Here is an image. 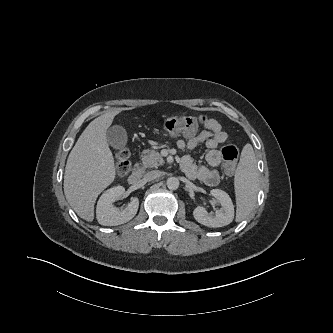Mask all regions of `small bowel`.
<instances>
[{"label":"small bowel","mask_w":333,"mask_h":333,"mask_svg":"<svg viewBox=\"0 0 333 333\" xmlns=\"http://www.w3.org/2000/svg\"><path fill=\"white\" fill-rule=\"evenodd\" d=\"M227 140V133L215 119L207 120L205 129L199 134L187 136L185 140H177L178 148L183 151L194 150L202 143L209 149L206 154L209 167L197 165L193 158L186 154L181 159V168L184 173L189 178L198 179L208 186H217L220 182V174L216 168L221 164V153L218 150V146Z\"/></svg>","instance_id":"1"}]
</instances>
